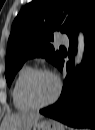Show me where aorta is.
Returning a JSON list of instances; mask_svg holds the SVG:
<instances>
[{"label":"aorta","mask_w":95,"mask_h":130,"mask_svg":"<svg viewBox=\"0 0 95 130\" xmlns=\"http://www.w3.org/2000/svg\"><path fill=\"white\" fill-rule=\"evenodd\" d=\"M84 52H85L84 34L81 31H79L77 54H76V57H75V66L79 65L83 61Z\"/></svg>","instance_id":"762f6f07"}]
</instances>
